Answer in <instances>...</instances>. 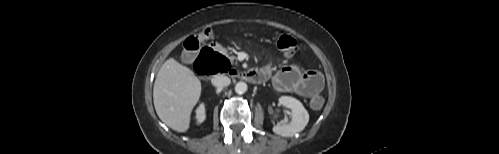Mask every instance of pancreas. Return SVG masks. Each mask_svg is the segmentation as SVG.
Returning a JSON list of instances; mask_svg holds the SVG:
<instances>
[{
  "instance_id": "1",
  "label": "pancreas",
  "mask_w": 499,
  "mask_h": 154,
  "mask_svg": "<svg viewBox=\"0 0 499 154\" xmlns=\"http://www.w3.org/2000/svg\"><path fill=\"white\" fill-rule=\"evenodd\" d=\"M223 52H224L225 54H227V51H226L225 49L223 50ZM234 59H235V57H234V56H231V57H230V60H231V61H233Z\"/></svg>"
}]
</instances>
